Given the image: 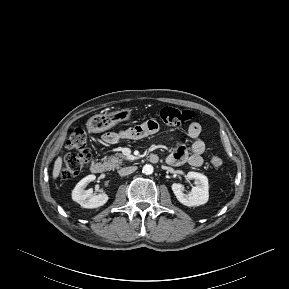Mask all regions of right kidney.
Wrapping results in <instances>:
<instances>
[{"instance_id": "right-kidney-1", "label": "right kidney", "mask_w": 289, "mask_h": 289, "mask_svg": "<svg viewBox=\"0 0 289 289\" xmlns=\"http://www.w3.org/2000/svg\"><path fill=\"white\" fill-rule=\"evenodd\" d=\"M96 179L95 175H88L80 180L72 191V199L79 203L83 208H98L108 201L107 194L92 195L93 190H86L88 183Z\"/></svg>"}]
</instances>
